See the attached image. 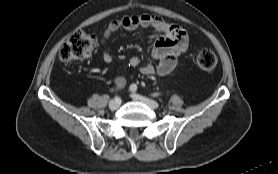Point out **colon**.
<instances>
[{"label":"colon","mask_w":278,"mask_h":174,"mask_svg":"<svg viewBox=\"0 0 278 174\" xmlns=\"http://www.w3.org/2000/svg\"><path fill=\"white\" fill-rule=\"evenodd\" d=\"M97 39L85 30L73 32L60 49L59 57L68 63L90 56L97 47ZM197 65L203 71H211L217 65V56L212 50L203 49L197 55Z\"/></svg>","instance_id":"colon-1"}]
</instances>
